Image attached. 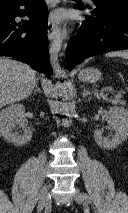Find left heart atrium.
Returning <instances> with one entry per match:
<instances>
[{
	"instance_id": "obj_1",
	"label": "left heart atrium",
	"mask_w": 128,
	"mask_h": 213,
	"mask_svg": "<svg viewBox=\"0 0 128 213\" xmlns=\"http://www.w3.org/2000/svg\"><path fill=\"white\" fill-rule=\"evenodd\" d=\"M62 19V15L60 13H57L53 16V20L55 22L60 21Z\"/></svg>"
}]
</instances>
